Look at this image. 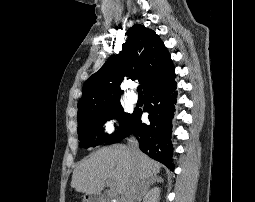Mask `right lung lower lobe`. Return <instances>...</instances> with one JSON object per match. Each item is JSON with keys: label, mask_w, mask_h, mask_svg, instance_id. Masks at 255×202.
I'll return each mask as SVG.
<instances>
[{"label": "right lung lower lobe", "mask_w": 255, "mask_h": 202, "mask_svg": "<svg viewBox=\"0 0 255 202\" xmlns=\"http://www.w3.org/2000/svg\"><path fill=\"white\" fill-rule=\"evenodd\" d=\"M144 98V112L149 113L150 122L142 123V110H135L124 138L133 134L138 139L142 152L173 170L171 120L177 98L176 82L172 79L158 88L149 90L144 94Z\"/></svg>", "instance_id": "98d812e1"}]
</instances>
